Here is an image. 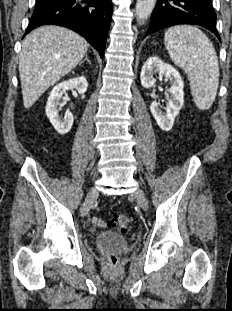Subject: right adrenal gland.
<instances>
[{
	"label": "right adrenal gland",
	"instance_id": "2a0ac1e0",
	"mask_svg": "<svg viewBox=\"0 0 232 311\" xmlns=\"http://www.w3.org/2000/svg\"><path fill=\"white\" fill-rule=\"evenodd\" d=\"M85 61H87L90 64V60L88 59L87 55L85 56V59L82 60L79 65H81L82 63H84Z\"/></svg>",
	"mask_w": 232,
	"mask_h": 311
}]
</instances>
